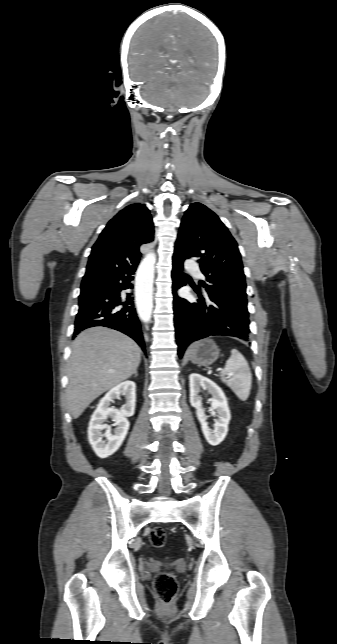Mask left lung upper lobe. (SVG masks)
Instances as JSON below:
<instances>
[{"label":"left lung upper lobe","instance_id":"left-lung-upper-lobe-1","mask_svg":"<svg viewBox=\"0 0 337 644\" xmlns=\"http://www.w3.org/2000/svg\"><path fill=\"white\" fill-rule=\"evenodd\" d=\"M190 257L199 258L206 277L205 281H200L203 292L225 299L249 316L238 245L219 217L198 202L185 211L173 256L182 262Z\"/></svg>","mask_w":337,"mask_h":644}]
</instances>
